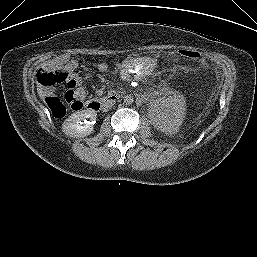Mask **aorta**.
I'll use <instances>...</instances> for the list:
<instances>
[{"instance_id":"aorta-1","label":"aorta","mask_w":257,"mask_h":257,"mask_svg":"<svg viewBox=\"0 0 257 257\" xmlns=\"http://www.w3.org/2000/svg\"><path fill=\"white\" fill-rule=\"evenodd\" d=\"M134 102V98L132 95H126L124 96V103L126 105H131Z\"/></svg>"}]
</instances>
